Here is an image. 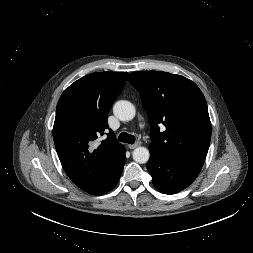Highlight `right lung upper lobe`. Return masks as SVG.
<instances>
[{
    "label": "right lung upper lobe",
    "mask_w": 253,
    "mask_h": 253,
    "mask_svg": "<svg viewBox=\"0 0 253 253\" xmlns=\"http://www.w3.org/2000/svg\"><path fill=\"white\" fill-rule=\"evenodd\" d=\"M128 73L88 74L61 95L53 127V139L63 169L79 188L89 192L107 176L125 148L109 129L108 113L122 91Z\"/></svg>",
    "instance_id": "1"
}]
</instances>
